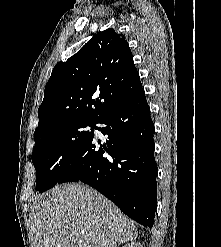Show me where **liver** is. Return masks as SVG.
I'll return each instance as SVG.
<instances>
[{
    "label": "liver",
    "mask_w": 221,
    "mask_h": 247,
    "mask_svg": "<svg viewBox=\"0 0 221 247\" xmlns=\"http://www.w3.org/2000/svg\"><path fill=\"white\" fill-rule=\"evenodd\" d=\"M30 219L34 247H117L138 236L115 204L80 183L39 196Z\"/></svg>",
    "instance_id": "6515ba94"
}]
</instances>
